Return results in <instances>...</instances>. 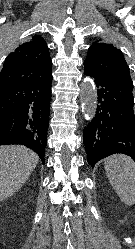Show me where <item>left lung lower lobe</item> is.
Instances as JSON below:
<instances>
[{
  "mask_svg": "<svg viewBox=\"0 0 135 249\" xmlns=\"http://www.w3.org/2000/svg\"><path fill=\"white\" fill-rule=\"evenodd\" d=\"M84 74L97 88L96 113L84 128L83 142L91 167L112 154L135 161V115L133 84L108 78L84 66Z\"/></svg>",
  "mask_w": 135,
  "mask_h": 249,
  "instance_id": "obj_1",
  "label": "left lung lower lobe"
}]
</instances>
